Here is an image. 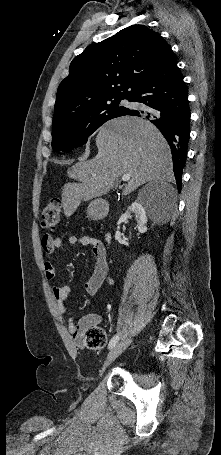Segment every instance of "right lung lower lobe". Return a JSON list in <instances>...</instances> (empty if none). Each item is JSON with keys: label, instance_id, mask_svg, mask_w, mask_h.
Returning a JSON list of instances; mask_svg holds the SVG:
<instances>
[{"label": "right lung lower lobe", "instance_id": "1", "mask_svg": "<svg viewBox=\"0 0 221 455\" xmlns=\"http://www.w3.org/2000/svg\"><path fill=\"white\" fill-rule=\"evenodd\" d=\"M129 101L143 103L147 108L129 109L125 115L144 116L161 131L169 143L180 192L190 138L191 113L188 91L172 50L167 51L157 66L140 82Z\"/></svg>", "mask_w": 221, "mask_h": 455}]
</instances>
